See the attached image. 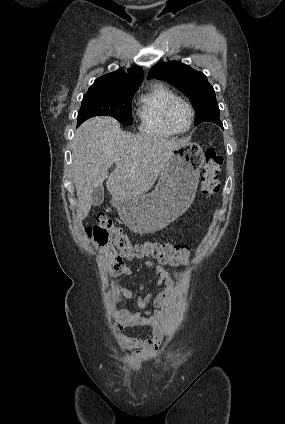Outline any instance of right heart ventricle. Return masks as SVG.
Wrapping results in <instances>:
<instances>
[{
    "instance_id": "e07e8e85",
    "label": "right heart ventricle",
    "mask_w": 285,
    "mask_h": 424,
    "mask_svg": "<svg viewBox=\"0 0 285 424\" xmlns=\"http://www.w3.org/2000/svg\"><path fill=\"white\" fill-rule=\"evenodd\" d=\"M177 95L163 84H154L138 98L137 117L139 129L152 136L169 138L174 135L166 126L164 111Z\"/></svg>"
}]
</instances>
